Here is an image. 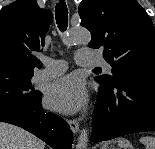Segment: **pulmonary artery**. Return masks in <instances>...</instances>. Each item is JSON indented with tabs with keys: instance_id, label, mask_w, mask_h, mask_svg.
Instances as JSON below:
<instances>
[{
	"instance_id": "pulmonary-artery-1",
	"label": "pulmonary artery",
	"mask_w": 155,
	"mask_h": 149,
	"mask_svg": "<svg viewBox=\"0 0 155 149\" xmlns=\"http://www.w3.org/2000/svg\"><path fill=\"white\" fill-rule=\"evenodd\" d=\"M75 59L76 63L80 66L104 65L107 69H110V66L102 59V57L91 49L81 48L77 50ZM43 63L45 69L41 70L37 75L41 80L52 79L63 74L67 69L66 62L63 60L44 58Z\"/></svg>"
}]
</instances>
